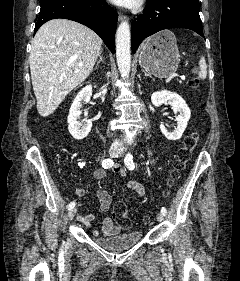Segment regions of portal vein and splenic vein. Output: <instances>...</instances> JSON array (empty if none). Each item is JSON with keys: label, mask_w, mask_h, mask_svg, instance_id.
<instances>
[{"label": "portal vein and splenic vein", "mask_w": 240, "mask_h": 281, "mask_svg": "<svg viewBox=\"0 0 240 281\" xmlns=\"http://www.w3.org/2000/svg\"><path fill=\"white\" fill-rule=\"evenodd\" d=\"M180 79L184 80V79H185V76H184V75H181V76H180Z\"/></svg>", "instance_id": "obj_1"}]
</instances>
